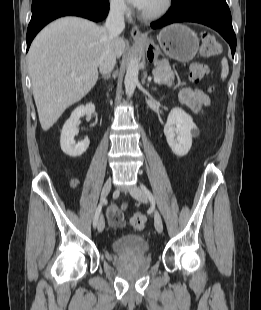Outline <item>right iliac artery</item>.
Wrapping results in <instances>:
<instances>
[{
  "label": "right iliac artery",
  "instance_id": "obj_1",
  "mask_svg": "<svg viewBox=\"0 0 261 310\" xmlns=\"http://www.w3.org/2000/svg\"><path fill=\"white\" fill-rule=\"evenodd\" d=\"M104 202V201H103ZM103 202H101L97 209H96V212H95V215H94V219H93V227L95 228L97 226V223H98V218H99V215H100V212H101V209H102V205H103Z\"/></svg>",
  "mask_w": 261,
  "mask_h": 310
}]
</instances>
